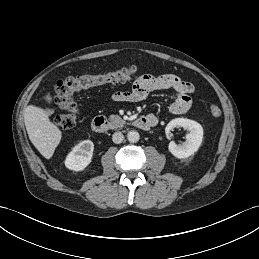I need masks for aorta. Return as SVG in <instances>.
<instances>
[{
	"instance_id": "762f6f07",
	"label": "aorta",
	"mask_w": 259,
	"mask_h": 259,
	"mask_svg": "<svg viewBox=\"0 0 259 259\" xmlns=\"http://www.w3.org/2000/svg\"><path fill=\"white\" fill-rule=\"evenodd\" d=\"M127 139L128 141L135 143L139 141L140 135L137 131H129L127 134Z\"/></svg>"
}]
</instances>
